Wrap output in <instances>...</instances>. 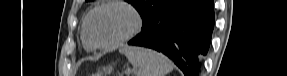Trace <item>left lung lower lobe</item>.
<instances>
[{
  "mask_svg": "<svg viewBox=\"0 0 287 76\" xmlns=\"http://www.w3.org/2000/svg\"><path fill=\"white\" fill-rule=\"evenodd\" d=\"M214 26L213 0H173L128 42L167 55L185 76H199Z\"/></svg>",
  "mask_w": 287,
  "mask_h": 76,
  "instance_id": "obj_1",
  "label": "left lung lower lobe"
}]
</instances>
